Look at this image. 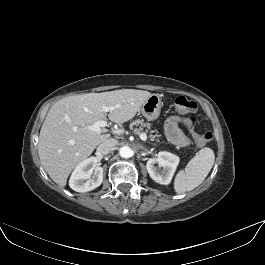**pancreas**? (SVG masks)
I'll use <instances>...</instances> for the list:
<instances>
[{"label":"pancreas","instance_id":"pancreas-1","mask_svg":"<svg viewBox=\"0 0 265 265\" xmlns=\"http://www.w3.org/2000/svg\"><path fill=\"white\" fill-rule=\"evenodd\" d=\"M133 125H141L143 127H147L148 129H150V124L149 123H143V121L140 120H136L134 122L131 123V127ZM150 133H153V131H150ZM159 135L155 134V135H150V140H154L156 137H158Z\"/></svg>","mask_w":265,"mask_h":265}]
</instances>
